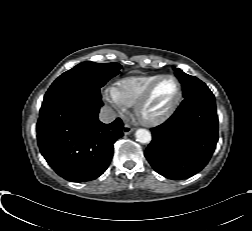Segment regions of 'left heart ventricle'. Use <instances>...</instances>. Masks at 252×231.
Masks as SVG:
<instances>
[{"label": "left heart ventricle", "mask_w": 252, "mask_h": 231, "mask_svg": "<svg viewBox=\"0 0 252 231\" xmlns=\"http://www.w3.org/2000/svg\"><path fill=\"white\" fill-rule=\"evenodd\" d=\"M177 94V85L173 79H163L154 90L143 109L146 117H156L167 110Z\"/></svg>", "instance_id": "1"}]
</instances>
